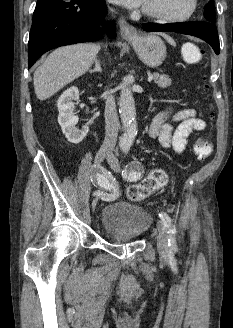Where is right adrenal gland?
<instances>
[{"label": "right adrenal gland", "mask_w": 233, "mask_h": 328, "mask_svg": "<svg viewBox=\"0 0 233 328\" xmlns=\"http://www.w3.org/2000/svg\"><path fill=\"white\" fill-rule=\"evenodd\" d=\"M90 73H93V72H102V67H101V64H100V60L98 59H95V68L90 70L89 71Z\"/></svg>", "instance_id": "obj_1"}]
</instances>
